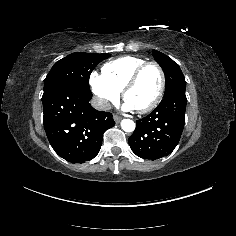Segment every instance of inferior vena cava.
I'll list each match as a JSON object with an SVG mask.
<instances>
[{
    "label": "inferior vena cava",
    "mask_w": 236,
    "mask_h": 236,
    "mask_svg": "<svg viewBox=\"0 0 236 236\" xmlns=\"http://www.w3.org/2000/svg\"><path fill=\"white\" fill-rule=\"evenodd\" d=\"M90 104L94 109L99 111H108L111 108L109 101L99 96H93Z\"/></svg>",
    "instance_id": "obj_1"
}]
</instances>
